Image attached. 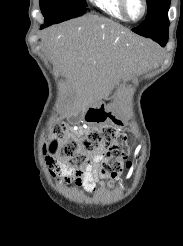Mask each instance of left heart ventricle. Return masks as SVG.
Wrapping results in <instances>:
<instances>
[{"mask_svg": "<svg viewBox=\"0 0 183 246\" xmlns=\"http://www.w3.org/2000/svg\"><path fill=\"white\" fill-rule=\"evenodd\" d=\"M141 9L142 7L139 0H129L128 12L132 18L134 19L138 18L141 14Z\"/></svg>", "mask_w": 183, "mask_h": 246, "instance_id": "obj_1", "label": "left heart ventricle"}]
</instances>
